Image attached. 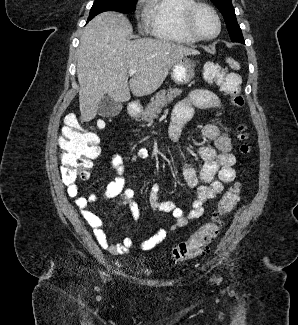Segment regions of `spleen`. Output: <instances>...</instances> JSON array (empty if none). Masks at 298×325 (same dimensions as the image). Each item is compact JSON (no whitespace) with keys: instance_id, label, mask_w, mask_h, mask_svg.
Returning <instances> with one entry per match:
<instances>
[{"instance_id":"1","label":"spleen","mask_w":298,"mask_h":325,"mask_svg":"<svg viewBox=\"0 0 298 325\" xmlns=\"http://www.w3.org/2000/svg\"><path fill=\"white\" fill-rule=\"evenodd\" d=\"M226 62H228L229 66H231L233 70H240L241 68L240 62H237V60H234V58H231V56H228V58H226Z\"/></svg>"}]
</instances>
